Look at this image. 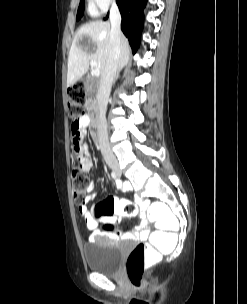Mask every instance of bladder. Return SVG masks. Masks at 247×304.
Returning <instances> with one entry per match:
<instances>
[{"label":"bladder","instance_id":"bladder-1","mask_svg":"<svg viewBox=\"0 0 247 304\" xmlns=\"http://www.w3.org/2000/svg\"><path fill=\"white\" fill-rule=\"evenodd\" d=\"M87 267L103 274L117 273L123 257L120 242L100 238L84 247Z\"/></svg>","mask_w":247,"mask_h":304}]
</instances>
